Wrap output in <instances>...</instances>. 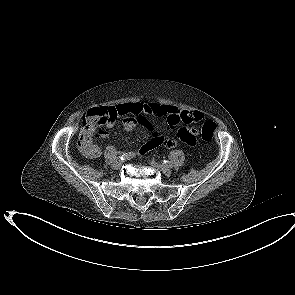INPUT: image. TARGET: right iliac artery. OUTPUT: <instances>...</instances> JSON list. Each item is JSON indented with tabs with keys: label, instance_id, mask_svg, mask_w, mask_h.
Returning <instances> with one entry per match:
<instances>
[{
	"label": "right iliac artery",
	"instance_id": "82829eb1",
	"mask_svg": "<svg viewBox=\"0 0 295 295\" xmlns=\"http://www.w3.org/2000/svg\"><path fill=\"white\" fill-rule=\"evenodd\" d=\"M134 156H135V153H133V152L124 153V154L119 156V159L123 161V160L130 159V158H132Z\"/></svg>",
	"mask_w": 295,
	"mask_h": 295
}]
</instances>
